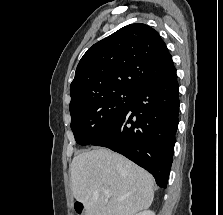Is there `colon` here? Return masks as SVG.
Instances as JSON below:
<instances>
[{
	"mask_svg": "<svg viewBox=\"0 0 223 215\" xmlns=\"http://www.w3.org/2000/svg\"><path fill=\"white\" fill-rule=\"evenodd\" d=\"M74 208H75L76 215H82L83 214L82 204L76 203Z\"/></svg>",
	"mask_w": 223,
	"mask_h": 215,
	"instance_id": "colon-1",
	"label": "colon"
}]
</instances>
